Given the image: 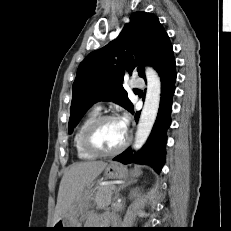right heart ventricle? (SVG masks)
<instances>
[{
  "mask_svg": "<svg viewBox=\"0 0 231 231\" xmlns=\"http://www.w3.org/2000/svg\"><path fill=\"white\" fill-rule=\"evenodd\" d=\"M99 116V111L92 109L87 115L82 119L79 125L76 128L73 137V145L77 157L80 160H92L95 158V155L89 153L83 146V134L88 127V125Z\"/></svg>",
  "mask_w": 231,
  "mask_h": 231,
  "instance_id": "e07e8e85",
  "label": "right heart ventricle"
}]
</instances>
